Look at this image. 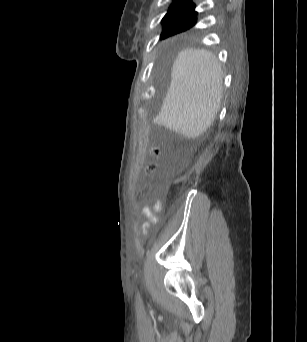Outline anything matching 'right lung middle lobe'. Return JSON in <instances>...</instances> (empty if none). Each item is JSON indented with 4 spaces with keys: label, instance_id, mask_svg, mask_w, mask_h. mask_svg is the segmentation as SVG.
Instances as JSON below:
<instances>
[{
    "label": "right lung middle lobe",
    "instance_id": "dd1d6c3e",
    "mask_svg": "<svg viewBox=\"0 0 307 342\" xmlns=\"http://www.w3.org/2000/svg\"><path fill=\"white\" fill-rule=\"evenodd\" d=\"M197 21V12L194 10L169 11L162 19L164 29L161 39L187 30Z\"/></svg>",
    "mask_w": 307,
    "mask_h": 342
}]
</instances>
